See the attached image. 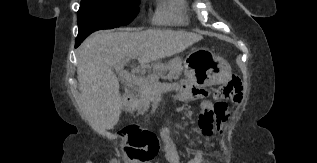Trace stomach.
I'll use <instances>...</instances> for the list:
<instances>
[{
  "label": "stomach",
  "instance_id": "obj_1",
  "mask_svg": "<svg viewBox=\"0 0 317 163\" xmlns=\"http://www.w3.org/2000/svg\"><path fill=\"white\" fill-rule=\"evenodd\" d=\"M206 51V57L199 72V68L185 66V74L188 78L203 82L204 85H216L225 82L230 74L231 68L229 64L220 56L216 55L210 50Z\"/></svg>",
  "mask_w": 317,
  "mask_h": 163
}]
</instances>
